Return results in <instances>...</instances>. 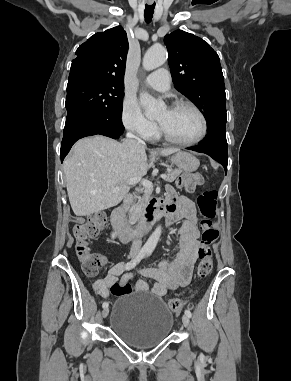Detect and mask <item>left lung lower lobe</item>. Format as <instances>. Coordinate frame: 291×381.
<instances>
[{
	"label": "left lung lower lobe",
	"instance_id": "0a47b994",
	"mask_svg": "<svg viewBox=\"0 0 291 381\" xmlns=\"http://www.w3.org/2000/svg\"><path fill=\"white\" fill-rule=\"evenodd\" d=\"M200 153H205L221 163L227 172L228 145L226 135L206 136L197 146L187 148Z\"/></svg>",
	"mask_w": 291,
	"mask_h": 381
}]
</instances>
